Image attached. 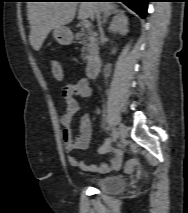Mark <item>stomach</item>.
<instances>
[{
  "label": "stomach",
  "instance_id": "obj_1",
  "mask_svg": "<svg viewBox=\"0 0 188 213\" xmlns=\"http://www.w3.org/2000/svg\"><path fill=\"white\" fill-rule=\"evenodd\" d=\"M54 39L61 45H69L73 41V35L68 27L62 26L53 30Z\"/></svg>",
  "mask_w": 188,
  "mask_h": 213
}]
</instances>
